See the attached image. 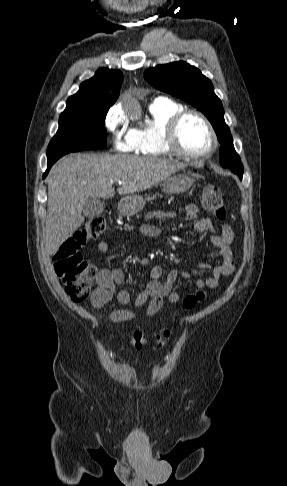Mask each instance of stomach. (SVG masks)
<instances>
[{
    "label": "stomach",
    "instance_id": "stomach-1",
    "mask_svg": "<svg viewBox=\"0 0 287 486\" xmlns=\"http://www.w3.org/2000/svg\"><path fill=\"white\" fill-rule=\"evenodd\" d=\"M193 183L194 180L185 174L173 175L163 180L162 191L167 194L182 193L189 190ZM145 203L146 198L133 194L123 197L118 203V209L124 215H132L142 210Z\"/></svg>",
    "mask_w": 287,
    "mask_h": 486
}]
</instances>
